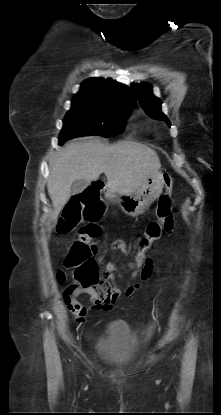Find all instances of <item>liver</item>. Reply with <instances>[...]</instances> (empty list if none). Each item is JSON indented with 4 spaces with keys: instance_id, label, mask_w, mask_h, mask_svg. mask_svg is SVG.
I'll return each instance as SVG.
<instances>
[{
    "instance_id": "liver-1",
    "label": "liver",
    "mask_w": 221,
    "mask_h": 415,
    "mask_svg": "<svg viewBox=\"0 0 221 415\" xmlns=\"http://www.w3.org/2000/svg\"><path fill=\"white\" fill-rule=\"evenodd\" d=\"M160 167L157 153L140 143L119 141L105 145L96 137L69 142L54 160L47 182L54 222L71 197L74 181L84 179L90 182L104 173L109 191L132 195Z\"/></svg>"
}]
</instances>
